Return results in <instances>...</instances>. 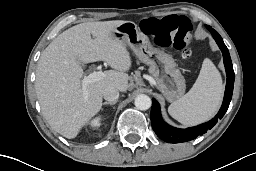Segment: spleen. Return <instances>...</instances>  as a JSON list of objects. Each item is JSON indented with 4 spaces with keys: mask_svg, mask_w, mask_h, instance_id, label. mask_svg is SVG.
<instances>
[{
    "mask_svg": "<svg viewBox=\"0 0 256 171\" xmlns=\"http://www.w3.org/2000/svg\"><path fill=\"white\" fill-rule=\"evenodd\" d=\"M223 91L219 71L213 62L206 58L192 88L183 97L173 102L168 107V112L184 125L204 122L219 109Z\"/></svg>",
    "mask_w": 256,
    "mask_h": 171,
    "instance_id": "obj_1",
    "label": "spleen"
}]
</instances>
